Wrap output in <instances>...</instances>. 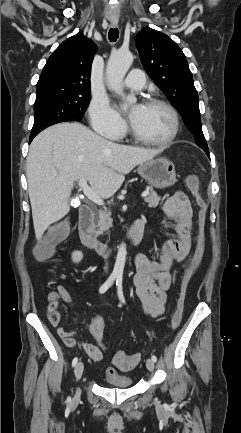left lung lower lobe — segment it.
<instances>
[{
    "instance_id": "obj_1",
    "label": "left lung lower lobe",
    "mask_w": 241,
    "mask_h": 433,
    "mask_svg": "<svg viewBox=\"0 0 241 433\" xmlns=\"http://www.w3.org/2000/svg\"><path fill=\"white\" fill-rule=\"evenodd\" d=\"M205 151V153L209 156V151L208 150H204Z\"/></svg>"
}]
</instances>
